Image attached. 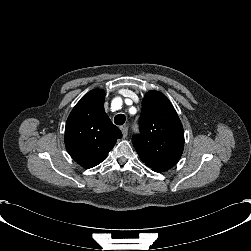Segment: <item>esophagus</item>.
Returning a JSON list of instances; mask_svg holds the SVG:
<instances>
[{
  "label": "esophagus",
  "instance_id": "esophagus-1",
  "mask_svg": "<svg viewBox=\"0 0 251 251\" xmlns=\"http://www.w3.org/2000/svg\"><path fill=\"white\" fill-rule=\"evenodd\" d=\"M120 130L122 131L123 138H125L128 134V127L127 126H121Z\"/></svg>",
  "mask_w": 251,
  "mask_h": 251
}]
</instances>
